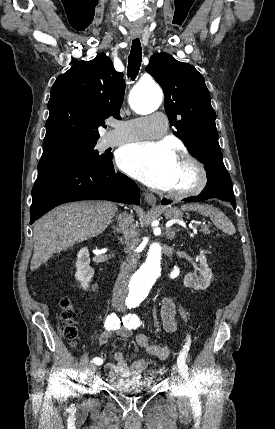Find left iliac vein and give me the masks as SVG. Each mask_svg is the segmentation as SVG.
Instances as JSON below:
<instances>
[{"label":"left iliac vein","mask_w":275,"mask_h":429,"mask_svg":"<svg viewBox=\"0 0 275 429\" xmlns=\"http://www.w3.org/2000/svg\"><path fill=\"white\" fill-rule=\"evenodd\" d=\"M172 375H173L174 377H178V368H177L176 366H173Z\"/></svg>","instance_id":"1"}]
</instances>
